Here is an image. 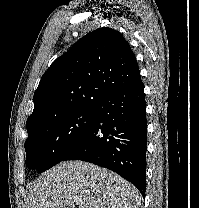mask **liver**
I'll return each instance as SVG.
<instances>
[{
    "label": "liver",
    "mask_w": 199,
    "mask_h": 208,
    "mask_svg": "<svg viewBox=\"0 0 199 208\" xmlns=\"http://www.w3.org/2000/svg\"><path fill=\"white\" fill-rule=\"evenodd\" d=\"M28 208H138L137 188L108 169L65 161L41 174L29 191Z\"/></svg>",
    "instance_id": "1"
}]
</instances>
